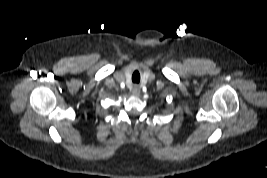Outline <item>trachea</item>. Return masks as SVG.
<instances>
[{
  "mask_svg": "<svg viewBox=\"0 0 267 178\" xmlns=\"http://www.w3.org/2000/svg\"><path fill=\"white\" fill-rule=\"evenodd\" d=\"M139 79H138V74H135L134 77H133V82H137L138 83Z\"/></svg>",
  "mask_w": 267,
  "mask_h": 178,
  "instance_id": "trachea-1",
  "label": "trachea"
}]
</instances>
